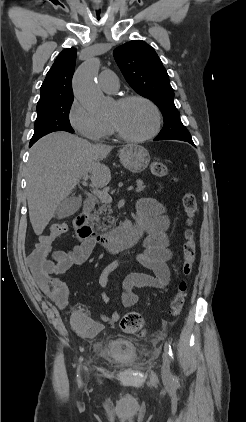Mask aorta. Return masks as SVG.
Listing matches in <instances>:
<instances>
[{"instance_id":"1","label":"aorta","mask_w":246,"mask_h":422,"mask_svg":"<svg viewBox=\"0 0 246 422\" xmlns=\"http://www.w3.org/2000/svg\"><path fill=\"white\" fill-rule=\"evenodd\" d=\"M99 66L98 58H90L77 69L73 77L75 97L94 116L104 115L107 111L103 95L96 84Z\"/></svg>"}]
</instances>
